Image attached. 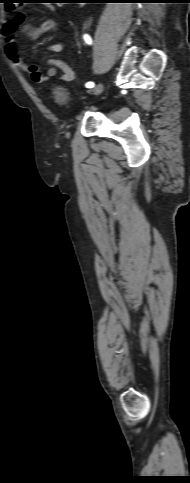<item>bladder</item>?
<instances>
[{
    "label": "bladder",
    "mask_w": 190,
    "mask_h": 483,
    "mask_svg": "<svg viewBox=\"0 0 190 483\" xmlns=\"http://www.w3.org/2000/svg\"><path fill=\"white\" fill-rule=\"evenodd\" d=\"M53 96L55 102L60 106H66L71 99V95L66 87L61 85H56L53 90Z\"/></svg>",
    "instance_id": "1"
}]
</instances>
